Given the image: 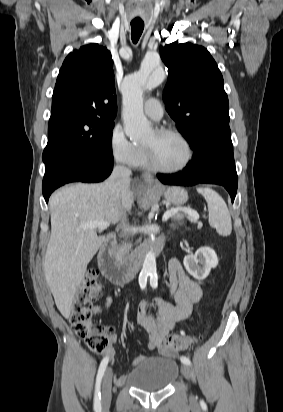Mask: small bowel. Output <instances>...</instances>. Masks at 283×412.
<instances>
[{
	"instance_id": "c3829d8e",
	"label": "small bowel",
	"mask_w": 283,
	"mask_h": 412,
	"mask_svg": "<svg viewBox=\"0 0 283 412\" xmlns=\"http://www.w3.org/2000/svg\"><path fill=\"white\" fill-rule=\"evenodd\" d=\"M166 288L168 296L157 300L155 315L150 313L151 304L148 301H141L139 303L137 307V322L149 335L148 350L157 351L163 357H171L175 355V352L164 349L162 342L180 321L191 317L193 306L202 298V289L198 283L188 276L177 259L170 260L168 264ZM170 295H174L175 303L171 302ZM113 301V297L107 295L103 302L92 308V312L94 314H101ZM108 330L110 331V340L105 353L114 358V346L117 343L118 336L113 332L112 327H108ZM145 360H147L146 356H139L133 361L132 365H139ZM125 378V373H121L114 380L117 384H123Z\"/></svg>"
}]
</instances>
